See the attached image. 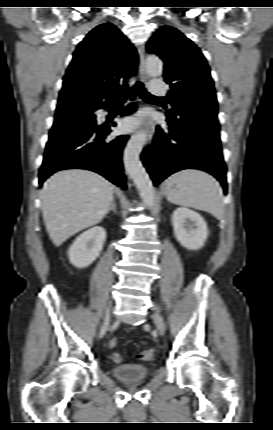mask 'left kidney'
<instances>
[{
    "mask_svg": "<svg viewBox=\"0 0 273 430\" xmlns=\"http://www.w3.org/2000/svg\"><path fill=\"white\" fill-rule=\"evenodd\" d=\"M174 235L188 250H198L208 237L207 223L200 213L189 208H177L172 216Z\"/></svg>",
    "mask_w": 273,
    "mask_h": 430,
    "instance_id": "obj_1",
    "label": "left kidney"
}]
</instances>
